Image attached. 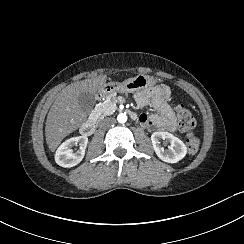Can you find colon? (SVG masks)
<instances>
[{"label": "colon", "instance_id": "colon-1", "mask_svg": "<svg viewBox=\"0 0 244 244\" xmlns=\"http://www.w3.org/2000/svg\"><path fill=\"white\" fill-rule=\"evenodd\" d=\"M176 116L178 120L179 130L182 134L187 136L186 147L190 155H194L199 151L200 140L193 133L196 122L193 114L181 107L176 110Z\"/></svg>", "mask_w": 244, "mask_h": 244}]
</instances>
